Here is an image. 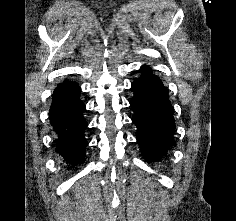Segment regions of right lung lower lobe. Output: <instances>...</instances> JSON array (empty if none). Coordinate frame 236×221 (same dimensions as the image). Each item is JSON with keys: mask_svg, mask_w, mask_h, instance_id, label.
I'll list each match as a JSON object with an SVG mask.
<instances>
[{"mask_svg": "<svg viewBox=\"0 0 236 221\" xmlns=\"http://www.w3.org/2000/svg\"><path fill=\"white\" fill-rule=\"evenodd\" d=\"M80 92L77 84L65 80L55 89L49 110L51 125L57 134L56 151L73 165L83 162L87 146L84 137L87 123L82 116L85 105L79 98Z\"/></svg>", "mask_w": 236, "mask_h": 221, "instance_id": "98d812e1", "label": "right lung lower lobe"}]
</instances>
